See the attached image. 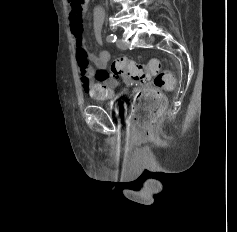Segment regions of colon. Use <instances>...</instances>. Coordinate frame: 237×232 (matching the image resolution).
Masks as SVG:
<instances>
[{
  "label": "colon",
  "mask_w": 237,
  "mask_h": 232,
  "mask_svg": "<svg viewBox=\"0 0 237 232\" xmlns=\"http://www.w3.org/2000/svg\"><path fill=\"white\" fill-rule=\"evenodd\" d=\"M73 9L81 11L88 0H68ZM114 77L128 76L145 84L138 90L133 100L132 122L144 134H149L165 109V99L161 90L174 86V76L161 71L157 59L140 64L126 57L116 58L110 68Z\"/></svg>",
  "instance_id": "1"
}]
</instances>
